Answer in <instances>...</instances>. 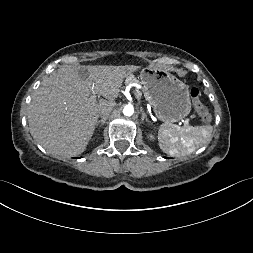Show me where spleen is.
Here are the masks:
<instances>
[{
  "label": "spleen",
  "mask_w": 253,
  "mask_h": 253,
  "mask_svg": "<svg viewBox=\"0 0 253 253\" xmlns=\"http://www.w3.org/2000/svg\"><path fill=\"white\" fill-rule=\"evenodd\" d=\"M212 131L211 125L179 127L164 123L159 128V146L172 157L187 155L210 142Z\"/></svg>",
  "instance_id": "obj_1"
}]
</instances>
